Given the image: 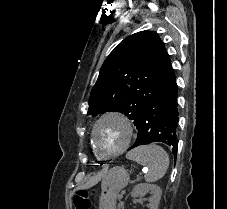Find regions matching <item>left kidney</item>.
<instances>
[{"label":"left kidney","mask_w":227,"mask_h":209,"mask_svg":"<svg viewBox=\"0 0 227 209\" xmlns=\"http://www.w3.org/2000/svg\"><path fill=\"white\" fill-rule=\"evenodd\" d=\"M146 193H150L151 197L149 199L150 203L148 205L149 209H158L160 203L162 191L157 185H148V183H139L134 187L131 197H144Z\"/></svg>","instance_id":"1"}]
</instances>
